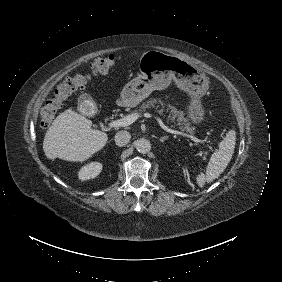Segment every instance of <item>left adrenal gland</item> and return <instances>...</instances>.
<instances>
[{"mask_svg":"<svg viewBox=\"0 0 282 282\" xmlns=\"http://www.w3.org/2000/svg\"><path fill=\"white\" fill-rule=\"evenodd\" d=\"M168 139V136H163V137H161L159 140H160V142H164L165 140H167Z\"/></svg>","mask_w":282,"mask_h":282,"instance_id":"left-adrenal-gland-1","label":"left adrenal gland"}]
</instances>
